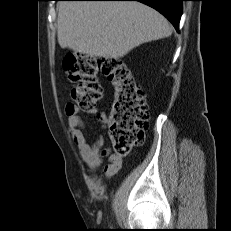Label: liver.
I'll list each match as a JSON object with an SVG mask.
<instances>
[{
    "label": "liver",
    "instance_id": "1",
    "mask_svg": "<svg viewBox=\"0 0 231 231\" xmlns=\"http://www.w3.org/2000/svg\"><path fill=\"white\" fill-rule=\"evenodd\" d=\"M171 34L167 19L139 2L63 1L59 4V45L89 56L118 59L143 43Z\"/></svg>",
    "mask_w": 231,
    "mask_h": 231
}]
</instances>
